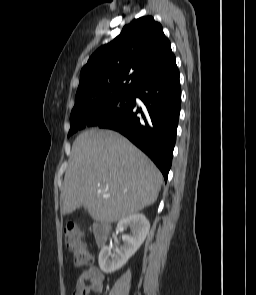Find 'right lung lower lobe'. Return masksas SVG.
Here are the masks:
<instances>
[{
    "label": "right lung lower lobe",
    "mask_w": 256,
    "mask_h": 295,
    "mask_svg": "<svg viewBox=\"0 0 256 295\" xmlns=\"http://www.w3.org/2000/svg\"><path fill=\"white\" fill-rule=\"evenodd\" d=\"M135 97L145 108L138 107ZM181 106L179 71L175 56L150 74L135 90L134 102L118 116L96 120L90 126L120 132L144 151L161 170L165 181L172 163ZM142 117H138V114Z\"/></svg>",
    "instance_id": "98d812e1"
}]
</instances>
